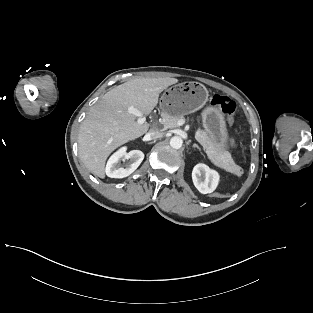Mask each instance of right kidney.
<instances>
[{
  "instance_id": "1",
  "label": "right kidney",
  "mask_w": 313,
  "mask_h": 313,
  "mask_svg": "<svg viewBox=\"0 0 313 313\" xmlns=\"http://www.w3.org/2000/svg\"><path fill=\"white\" fill-rule=\"evenodd\" d=\"M144 159V153L140 150L126 152V147H122L114 153L106 165V175L110 178H124L132 174ZM120 160H130L124 166L119 163Z\"/></svg>"
}]
</instances>
